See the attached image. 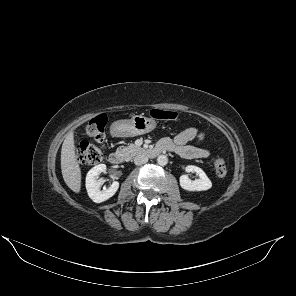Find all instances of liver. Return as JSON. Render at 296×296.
Masks as SVG:
<instances>
[{
    "label": "liver",
    "mask_w": 296,
    "mask_h": 296,
    "mask_svg": "<svg viewBox=\"0 0 296 296\" xmlns=\"http://www.w3.org/2000/svg\"><path fill=\"white\" fill-rule=\"evenodd\" d=\"M61 171L66 185L75 193L81 190V169L75 154L74 133L67 134L61 149Z\"/></svg>",
    "instance_id": "1"
}]
</instances>
